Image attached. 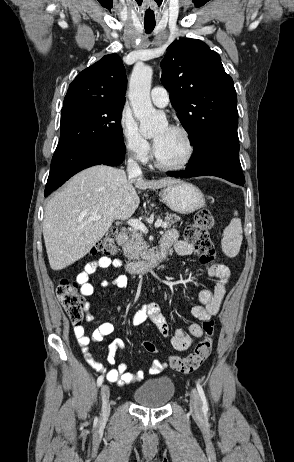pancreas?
I'll return each instance as SVG.
<instances>
[{
  "label": "pancreas",
  "mask_w": 294,
  "mask_h": 462,
  "mask_svg": "<svg viewBox=\"0 0 294 462\" xmlns=\"http://www.w3.org/2000/svg\"><path fill=\"white\" fill-rule=\"evenodd\" d=\"M178 221H180V217L178 215L167 213L162 227H171ZM123 251L125 257H127L128 260L135 261L140 259H146L148 257L149 247L147 246L141 233H139L137 230H131L129 232V238L123 245Z\"/></svg>",
  "instance_id": "cf45deb5"
}]
</instances>
